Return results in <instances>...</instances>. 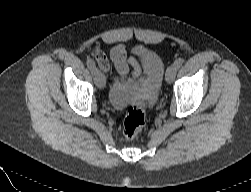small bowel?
Masks as SVG:
<instances>
[{
  "mask_svg": "<svg viewBox=\"0 0 251 192\" xmlns=\"http://www.w3.org/2000/svg\"><path fill=\"white\" fill-rule=\"evenodd\" d=\"M95 59L102 70L109 71L111 69L109 58L102 51L96 50ZM110 60L114 64L115 70L122 78L128 75L129 67L132 68V75L134 77H140L142 74L140 62L135 57L128 56L125 47L121 44L112 48Z\"/></svg>",
  "mask_w": 251,
  "mask_h": 192,
  "instance_id": "small-bowel-1",
  "label": "small bowel"
}]
</instances>
